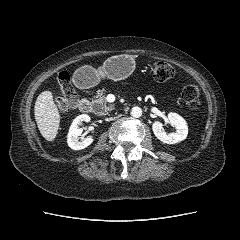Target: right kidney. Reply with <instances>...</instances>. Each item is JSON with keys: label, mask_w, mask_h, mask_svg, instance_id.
Instances as JSON below:
<instances>
[{"label": "right kidney", "mask_w": 240, "mask_h": 240, "mask_svg": "<svg viewBox=\"0 0 240 240\" xmlns=\"http://www.w3.org/2000/svg\"><path fill=\"white\" fill-rule=\"evenodd\" d=\"M91 120L90 116L87 114H82L77 116L69 129L67 136L68 146L73 150H81L92 144L94 139L92 137H87L81 141L78 140V137L82 134L83 129L80 127L83 122L87 123Z\"/></svg>", "instance_id": "obj_1"}]
</instances>
